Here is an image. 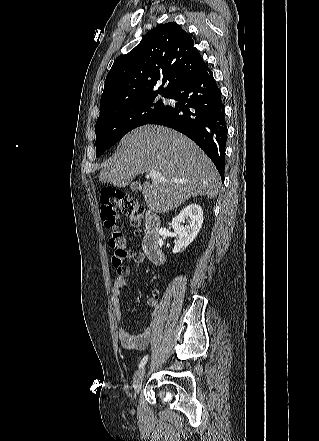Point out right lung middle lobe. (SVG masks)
Segmentation results:
<instances>
[{"instance_id": "obj_1", "label": "right lung middle lobe", "mask_w": 319, "mask_h": 441, "mask_svg": "<svg viewBox=\"0 0 319 441\" xmlns=\"http://www.w3.org/2000/svg\"><path fill=\"white\" fill-rule=\"evenodd\" d=\"M156 96L152 95L123 102L100 112L95 125L96 157L112 147L127 132L150 123L163 111L166 105L161 100L154 102Z\"/></svg>"}]
</instances>
